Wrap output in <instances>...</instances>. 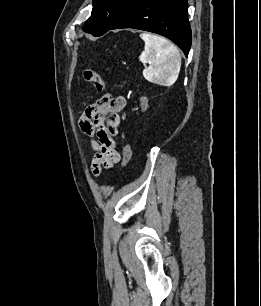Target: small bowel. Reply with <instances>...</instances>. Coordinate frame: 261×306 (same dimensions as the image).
<instances>
[{
  "mask_svg": "<svg viewBox=\"0 0 261 306\" xmlns=\"http://www.w3.org/2000/svg\"><path fill=\"white\" fill-rule=\"evenodd\" d=\"M125 106V97L106 95L88 105L80 118L81 130L94 152L91 168L95 175L102 169L112 168L120 160L113 137L118 135L119 113Z\"/></svg>",
  "mask_w": 261,
  "mask_h": 306,
  "instance_id": "small-bowel-1",
  "label": "small bowel"
}]
</instances>
